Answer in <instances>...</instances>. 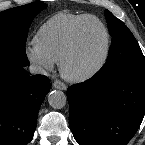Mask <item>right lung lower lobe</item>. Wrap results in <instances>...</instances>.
I'll return each instance as SVG.
<instances>
[{
	"label": "right lung lower lobe",
	"mask_w": 145,
	"mask_h": 145,
	"mask_svg": "<svg viewBox=\"0 0 145 145\" xmlns=\"http://www.w3.org/2000/svg\"><path fill=\"white\" fill-rule=\"evenodd\" d=\"M49 90L46 76H29L24 67L0 72V145H26L32 140Z\"/></svg>",
	"instance_id": "obj_1"
}]
</instances>
